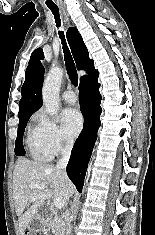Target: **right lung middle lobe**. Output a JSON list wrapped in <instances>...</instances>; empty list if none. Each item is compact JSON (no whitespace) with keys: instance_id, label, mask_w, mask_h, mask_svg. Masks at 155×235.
Listing matches in <instances>:
<instances>
[{"instance_id":"obj_1","label":"right lung middle lobe","mask_w":155,"mask_h":235,"mask_svg":"<svg viewBox=\"0 0 155 235\" xmlns=\"http://www.w3.org/2000/svg\"><path fill=\"white\" fill-rule=\"evenodd\" d=\"M30 116L31 115L19 118L18 133H17V138H16V144H15L16 156H24L25 155V150L23 147V134H24L25 127L27 125V122H28Z\"/></svg>"}]
</instances>
